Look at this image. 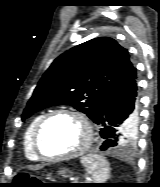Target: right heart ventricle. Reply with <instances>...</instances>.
Returning <instances> with one entry per match:
<instances>
[{
    "label": "right heart ventricle",
    "instance_id": "e07e8e85",
    "mask_svg": "<svg viewBox=\"0 0 160 187\" xmlns=\"http://www.w3.org/2000/svg\"><path fill=\"white\" fill-rule=\"evenodd\" d=\"M44 114L37 115L34 117L31 122L28 124L24 135H23V152L27 159L31 161H39L40 157L35 153L33 148V133L34 129L39 122V120L43 117Z\"/></svg>",
    "mask_w": 160,
    "mask_h": 187
}]
</instances>
